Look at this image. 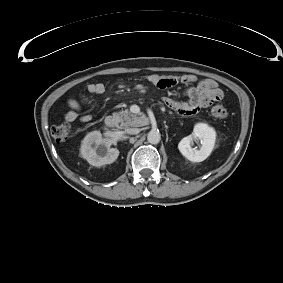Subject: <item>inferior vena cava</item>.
<instances>
[{
  "mask_svg": "<svg viewBox=\"0 0 283 283\" xmlns=\"http://www.w3.org/2000/svg\"><path fill=\"white\" fill-rule=\"evenodd\" d=\"M125 132L127 134L133 135V134H138L140 132V130L138 128H127V129H125Z\"/></svg>",
  "mask_w": 283,
  "mask_h": 283,
  "instance_id": "1",
  "label": "inferior vena cava"
}]
</instances>
